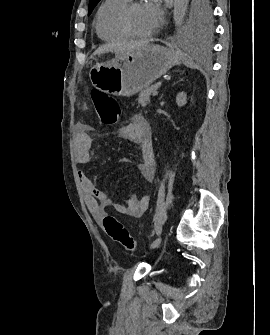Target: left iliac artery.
I'll return each mask as SVG.
<instances>
[{
	"label": "left iliac artery",
	"mask_w": 270,
	"mask_h": 335,
	"mask_svg": "<svg viewBox=\"0 0 270 335\" xmlns=\"http://www.w3.org/2000/svg\"><path fill=\"white\" fill-rule=\"evenodd\" d=\"M155 231L157 235H160L162 233V222L159 219H157L155 222Z\"/></svg>",
	"instance_id": "left-iliac-artery-1"
}]
</instances>
